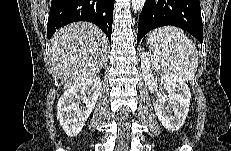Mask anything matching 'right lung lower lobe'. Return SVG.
Listing matches in <instances>:
<instances>
[{
  "instance_id": "right-lung-lower-lobe-1",
  "label": "right lung lower lobe",
  "mask_w": 231,
  "mask_h": 151,
  "mask_svg": "<svg viewBox=\"0 0 231 151\" xmlns=\"http://www.w3.org/2000/svg\"><path fill=\"white\" fill-rule=\"evenodd\" d=\"M114 0H52L47 24L48 39L64 25L76 21L96 24L111 40Z\"/></svg>"
}]
</instances>
